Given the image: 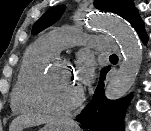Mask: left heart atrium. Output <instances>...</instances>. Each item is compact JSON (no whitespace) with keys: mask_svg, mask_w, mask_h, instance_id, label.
Instances as JSON below:
<instances>
[{"mask_svg":"<svg viewBox=\"0 0 151 131\" xmlns=\"http://www.w3.org/2000/svg\"><path fill=\"white\" fill-rule=\"evenodd\" d=\"M93 75V68L91 62L86 59L82 58L78 64V72H77V79L81 84L90 81Z\"/></svg>","mask_w":151,"mask_h":131,"instance_id":"39dd6f15","label":"left heart atrium"}]
</instances>
